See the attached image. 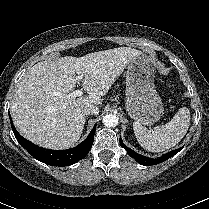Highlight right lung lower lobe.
Returning <instances> with one entry per match:
<instances>
[{"label": "right lung lower lobe", "instance_id": "1", "mask_svg": "<svg viewBox=\"0 0 209 209\" xmlns=\"http://www.w3.org/2000/svg\"><path fill=\"white\" fill-rule=\"evenodd\" d=\"M10 115V113H9ZM10 117L12 130L17 141L37 160L52 166H69L82 160L89 152L93 145L94 134L96 126L93 127L87 138L75 148L67 150H50L39 147L29 140L22 137L15 126L13 125L12 118Z\"/></svg>", "mask_w": 209, "mask_h": 209}]
</instances>
